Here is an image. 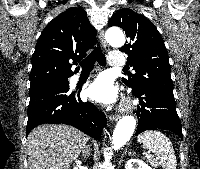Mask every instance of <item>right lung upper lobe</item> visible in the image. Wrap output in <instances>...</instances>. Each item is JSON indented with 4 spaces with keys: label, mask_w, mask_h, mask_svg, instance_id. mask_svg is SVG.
<instances>
[{
    "label": "right lung upper lobe",
    "mask_w": 200,
    "mask_h": 169,
    "mask_svg": "<svg viewBox=\"0 0 200 169\" xmlns=\"http://www.w3.org/2000/svg\"><path fill=\"white\" fill-rule=\"evenodd\" d=\"M96 30L90 24L84 9L72 7L53 19L41 33L30 72L31 85L53 79H67L73 63L86 56L96 43Z\"/></svg>",
    "instance_id": "obj_1"
}]
</instances>
